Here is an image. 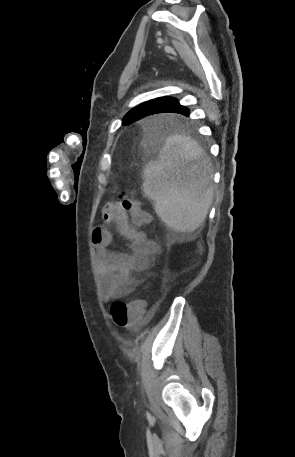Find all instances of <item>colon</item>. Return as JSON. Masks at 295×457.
Listing matches in <instances>:
<instances>
[{
	"label": "colon",
	"instance_id": "1",
	"mask_svg": "<svg viewBox=\"0 0 295 457\" xmlns=\"http://www.w3.org/2000/svg\"><path fill=\"white\" fill-rule=\"evenodd\" d=\"M120 204L129 213L133 224L143 226L148 223L149 215L142 210L140 203L126 193L120 194ZM114 323L122 328L133 329L140 325L144 317V303L141 300L130 302L116 301L111 305Z\"/></svg>",
	"mask_w": 295,
	"mask_h": 457
}]
</instances>
